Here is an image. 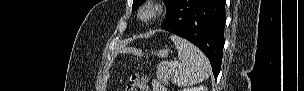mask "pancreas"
Instances as JSON below:
<instances>
[{
  "label": "pancreas",
  "instance_id": "1",
  "mask_svg": "<svg viewBox=\"0 0 304 91\" xmlns=\"http://www.w3.org/2000/svg\"><path fill=\"white\" fill-rule=\"evenodd\" d=\"M172 74H173L172 69H170L165 64L157 66V71H156L157 79L163 82L164 84H168V79L172 76Z\"/></svg>",
  "mask_w": 304,
  "mask_h": 91
}]
</instances>
